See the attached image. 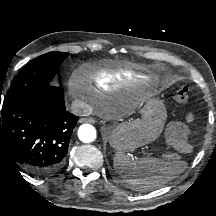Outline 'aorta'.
Segmentation results:
<instances>
[{
    "mask_svg": "<svg viewBox=\"0 0 216 216\" xmlns=\"http://www.w3.org/2000/svg\"><path fill=\"white\" fill-rule=\"evenodd\" d=\"M96 129L90 124H83L79 127L78 137L84 143L93 142L96 139Z\"/></svg>",
    "mask_w": 216,
    "mask_h": 216,
    "instance_id": "1",
    "label": "aorta"
}]
</instances>
